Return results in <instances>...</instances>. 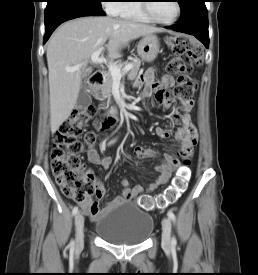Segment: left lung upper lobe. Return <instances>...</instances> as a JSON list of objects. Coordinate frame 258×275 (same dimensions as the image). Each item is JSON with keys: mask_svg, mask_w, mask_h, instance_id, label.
<instances>
[{"mask_svg": "<svg viewBox=\"0 0 258 275\" xmlns=\"http://www.w3.org/2000/svg\"><path fill=\"white\" fill-rule=\"evenodd\" d=\"M189 0H178L181 10L186 6Z\"/></svg>", "mask_w": 258, "mask_h": 275, "instance_id": "5c2ea615", "label": "left lung upper lobe"}]
</instances>
